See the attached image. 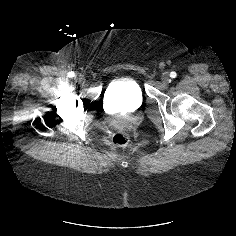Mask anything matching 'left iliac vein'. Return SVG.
<instances>
[{"instance_id": "left-iliac-vein-1", "label": "left iliac vein", "mask_w": 236, "mask_h": 236, "mask_svg": "<svg viewBox=\"0 0 236 236\" xmlns=\"http://www.w3.org/2000/svg\"><path fill=\"white\" fill-rule=\"evenodd\" d=\"M162 81H163L164 83H168V82L170 81V77H169V75H168L167 73H164V74L162 75Z\"/></svg>"}]
</instances>
